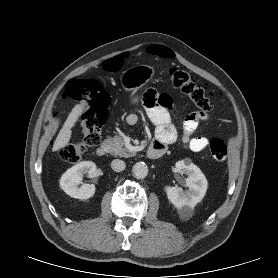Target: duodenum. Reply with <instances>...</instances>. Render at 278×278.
Masks as SVG:
<instances>
[{
	"instance_id": "duodenum-1",
	"label": "duodenum",
	"mask_w": 278,
	"mask_h": 278,
	"mask_svg": "<svg viewBox=\"0 0 278 278\" xmlns=\"http://www.w3.org/2000/svg\"><path fill=\"white\" fill-rule=\"evenodd\" d=\"M108 150V146L106 144H102L97 148L96 154L99 157H104L105 155H107ZM165 150L166 149L164 145L153 142L147 149V156L150 159H158L164 155Z\"/></svg>"
}]
</instances>
